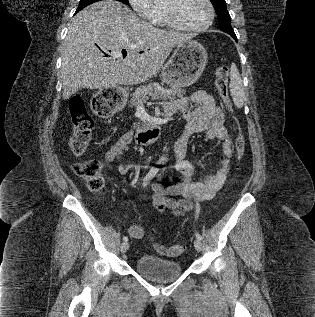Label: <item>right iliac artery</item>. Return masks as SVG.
<instances>
[{
  "mask_svg": "<svg viewBox=\"0 0 315 317\" xmlns=\"http://www.w3.org/2000/svg\"><path fill=\"white\" fill-rule=\"evenodd\" d=\"M158 164H160L158 162ZM159 171V168L158 167H152L150 169V171L147 173V175L145 176L144 180H143V186H147V184L150 182V180L152 178H154V176L157 174V172ZM123 241L127 242L128 241V237L127 236H124L123 237Z\"/></svg>",
  "mask_w": 315,
  "mask_h": 317,
  "instance_id": "82829eb1",
  "label": "right iliac artery"
}]
</instances>
